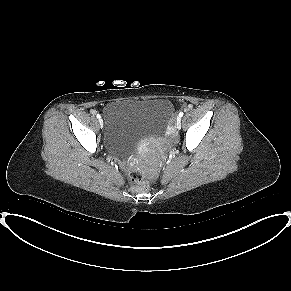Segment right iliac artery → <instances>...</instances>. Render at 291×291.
<instances>
[{
    "instance_id": "82829eb1",
    "label": "right iliac artery",
    "mask_w": 291,
    "mask_h": 291,
    "mask_svg": "<svg viewBox=\"0 0 291 291\" xmlns=\"http://www.w3.org/2000/svg\"><path fill=\"white\" fill-rule=\"evenodd\" d=\"M96 117L99 119V118H100V115H99V114H97V115H96Z\"/></svg>"
}]
</instances>
